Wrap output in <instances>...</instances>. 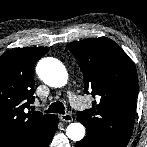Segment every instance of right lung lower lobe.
<instances>
[{"instance_id":"1","label":"right lung lower lobe","mask_w":147,"mask_h":147,"mask_svg":"<svg viewBox=\"0 0 147 147\" xmlns=\"http://www.w3.org/2000/svg\"><path fill=\"white\" fill-rule=\"evenodd\" d=\"M58 127V117L54 115L49 127L41 133L40 135L36 136L31 141H28L18 147H47L52 140L56 130Z\"/></svg>"}]
</instances>
